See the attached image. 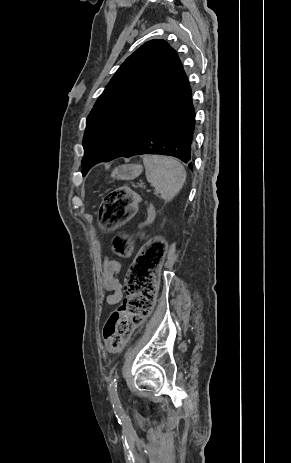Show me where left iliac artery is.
Returning a JSON list of instances; mask_svg holds the SVG:
<instances>
[{"mask_svg":"<svg viewBox=\"0 0 291 463\" xmlns=\"http://www.w3.org/2000/svg\"><path fill=\"white\" fill-rule=\"evenodd\" d=\"M109 393L113 403L116 405L119 404V397L117 392V376L111 379L109 385Z\"/></svg>","mask_w":291,"mask_h":463,"instance_id":"obj_1","label":"left iliac artery"}]
</instances>
